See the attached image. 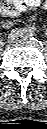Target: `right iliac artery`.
<instances>
[{
    "label": "right iliac artery",
    "mask_w": 47,
    "mask_h": 129,
    "mask_svg": "<svg viewBox=\"0 0 47 129\" xmlns=\"http://www.w3.org/2000/svg\"><path fill=\"white\" fill-rule=\"evenodd\" d=\"M9 25H13L12 23H9ZM10 27V26H7ZM25 29L29 32H34L36 30V28L34 26L31 25H26Z\"/></svg>",
    "instance_id": "1"
}]
</instances>
